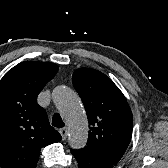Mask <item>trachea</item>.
I'll return each mask as SVG.
<instances>
[{
    "mask_svg": "<svg viewBox=\"0 0 168 168\" xmlns=\"http://www.w3.org/2000/svg\"><path fill=\"white\" fill-rule=\"evenodd\" d=\"M52 125L57 128H62L65 126L61 116L58 113L54 114L52 118Z\"/></svg>",
    "mask_w": 168,
    "mask_h": 168,
    "instance_id": "trachea-1",
    "label": "trachea"
}]
</instances>
